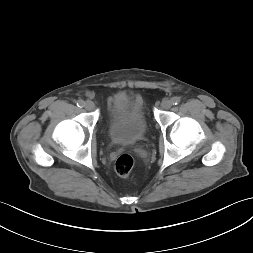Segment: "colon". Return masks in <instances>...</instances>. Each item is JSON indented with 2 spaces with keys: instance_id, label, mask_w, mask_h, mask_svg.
<instances>
[{
  "instance_id": "colon-1",
  "label": "colon",
  "mask_w": 253,
  "mask_h": 253,
  "mask_svg": "<svg viewBox=\"0 0 253 253\" xmlns=\"http://www.w3.org/2000/svg\"><path fill=\"white\" fill-rule=\"evenodd\" d=\"M134 167V159L128 154H122L115 162V172L122 178L130 176Z\"/></svg>"
}]
</instances>
